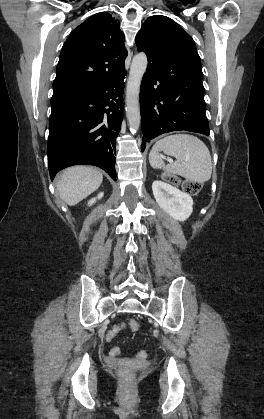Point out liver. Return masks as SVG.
Returning a JSON list of instances; mask_svg holds the SVG:
<instances>
[{
	"instance_id": "liver-1",
	"label": "liver",
	"mask_w": 264,
	"mask_h": 419,
	"mask_svg": "<svg viewBox=\"0 0 264 419\" xmlns=\"http://www.w3.org/2000/svg\"><path fill=\"white\" fill-rule=\"evenodd\" d=\"M102 180L103 175L96 168L73 166L62 172L57 189L60 198L74 206L97 190Z\"/></svg>"
}]
</instances>
